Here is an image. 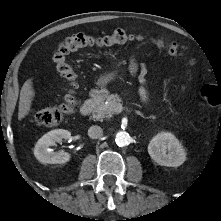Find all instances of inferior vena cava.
Wrapping results in <instances>:
<instances>
[{
    "label": "inferior vena cava",
    "instance_id": "obj_1",
    "mask_svg": "<svg viewBox=\"0 0 221 221\" xmlns=\"http://www.w3.org/2000/svg\"><path fill=\"white\" fill-rule=\"evenodd\" d=\"M88 135L92 139H97L103 136V130L100 126L93 125L88 129Z\"/></svg>",
    "mask_w": 221,
    "mask_h": 221
}]
</instances>
